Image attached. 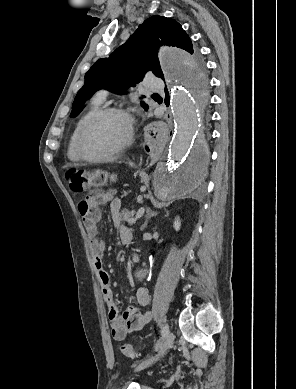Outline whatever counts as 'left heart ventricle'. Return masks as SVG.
<instances>
[{
  "label": "left heart ventricle",
  "instance_id": "left-heart-ventricle-1",
  "mask_svg": "<svg viewBox=\"0 0 296 389\" xmlns=\"http://www.w3.org/2000/svg\"><path fill=\"white\" fill-rule=\"evenodd\" d=\"M127 119L118 114H110L95 122L87 132L85 148L89 155L98 156L115 149L126 138Z\"/></svg>",
  "mask_w": 296,
  "mask_h": 389
}]
</instances>
